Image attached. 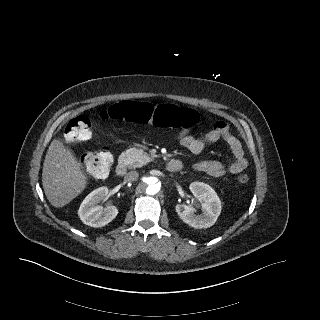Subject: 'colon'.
I'll use <instances>...</instances> for the list:
<instances>
[{"label":"colon","mask_w":320,"mask_h":320,"mask_svg":"<svg viewBox=\"0 0 320 320\" xmlns=\"http://www.w3.org/2000/svg\"><path fill=\"white\" fill-rule=\"evenodd\" d=\"M105 120H119L140 124H152L160 128H192L201 122L198 112L174 104L154 106L146 102L126 100L113 104L100 112ZM91 119L80 115L72 118L65 128V138L70 142H84L92 138ZM88 173L105 178L111 169L113 157L107 149L89 152L82 158ZM240 184L249 181L247 174L237 178Z\"/></svg>","instance_id":"1"}]
</instances>
